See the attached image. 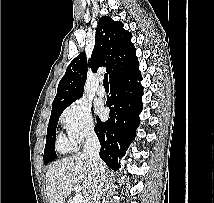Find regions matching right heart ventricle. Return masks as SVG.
I'll return each mask as SVG.
<instances>
[{
	"instance_id": "1",
	"label": "right heart ventricle",
	"mask_w": 214,
	"mask_h": 203,
	"mask_svg": "<svg viewBox=\"0 0 214 203\" xmlns=\"http://www.w3.org/2000/svg\"><path fill=\"white\" fill-rule=\"evenodd\" d=\"M57 147L61 152H67L73 148V144L65 137L60 135L57 140Z\"/></svg>"
}]
</instances>
